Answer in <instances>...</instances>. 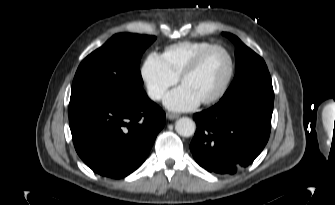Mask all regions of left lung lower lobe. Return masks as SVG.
Returning <instances> with one entry per match:
<instances>
[{
	"label": "left lung lower lobe",
	"mask_w": 335,
	"mask_h": 205,
	"mask_svg": "<svg viewBox=\"0 0 335 205\" xmlns=\"http://www.w3.org/2000/svg\"><path fill=\"white\" fill-rule=\"evenodd\" d=\"M273 104L266 96L243 93L194 114L198 127L190 150L196 162L220 174L251 164L269 139Z\"/></svg>",
	"instance_id": "0a47b994"
}]
</instances>
